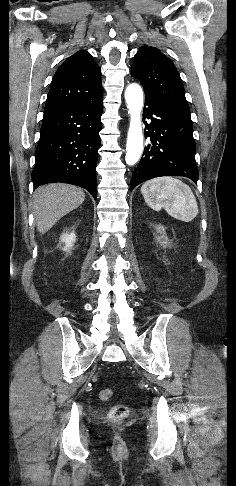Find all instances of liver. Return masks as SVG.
<instances>
[{"instance_id":"6515ba94","label":"liver","mask_w":236,"mask_h":486,"mask_svg":"<svg viewBox=\"0 0 236 486\" xmlns=\"http://www.w3.org/2000/svg\"><path fill=\"white\" fill-rule=\"evenodd\" d=\"M85 193L73 185L53 183L34 192L33 213L37 230L45 234L57 221L79 207Z\"/></svg>"}]
</instances>
